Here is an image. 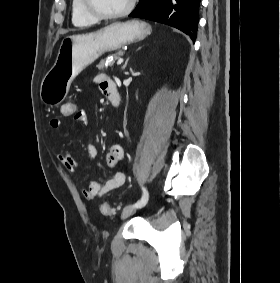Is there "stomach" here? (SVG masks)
<instances>
[{"label":"stomach","mask_w":280,"mask_h":283,"mask_svg":"<svg viewBox=\"0 0 280 283\" xmlns=\"http://www.w3.org/2000/svg\"><path fill=\"white\" fill-rule=\"evenodd\" d=\"M151 26L140 20L115 22L97 31L66 36L59 47L53 67L40 86L41 101L57 106L66 97L72 81L103 54L143 40Z\"/></svg>","instance_id":"stomach-1"}]
</instances>
